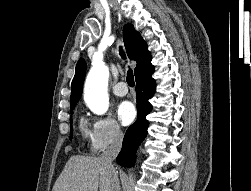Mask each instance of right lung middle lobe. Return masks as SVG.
Listing matches in <instances>:
<instances>
[{
  "label": "right lung middle lobe",
  "mask_w": 251,
  "mask_h": 191,
  "mask_svg": "<svg viewBox=\"0 0 251 191\" xmlns=\"http://www.w3.org/2000/svg\"><path fill=\"white\" fill-rule=\"evenodd\" d=\"M76 105H72V106H70V112L72 113V111H73V109H74V107H75ZM70 123H71V125H70V128H71V132H70V139L72 138V135H73V133H72V117H70Z\"/></svg>",
  "instance_id": "dd1d6c3e"
}]
</instances>
